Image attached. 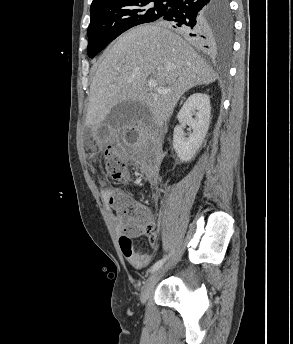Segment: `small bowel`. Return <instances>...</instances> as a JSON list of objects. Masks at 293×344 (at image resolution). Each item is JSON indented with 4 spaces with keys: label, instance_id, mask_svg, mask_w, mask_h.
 <instances>
[{
    "label": "small bowel",
    "instance_id": "small-bowel-1",
    "mask_svg": "<svg viewBox=\"0 0 293 344\" xmlns=\"http://www.w3.org/2000/svg\"><path fill=\"white\" fill-rule=\"evenodd\" d=\"M114 192V187H108L103 190V197L107 204L109 203L110 196ZM109 213L111 218V224L115 231V236L123 256L134 268L138 270L145 268L153 259V255L138 252L134 247L132 238L124 233V227L117 218V216L111 210H109ZM149 241L152 247L156 249L159 243L158 234L156 232H153L152 235L149 236Z\"/></svg>",
    "mask_w": 293,
    "mask_h": 344
}]
</instances>
